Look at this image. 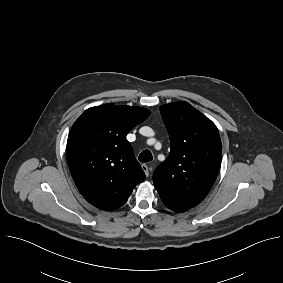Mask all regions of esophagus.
I'll return each mask as SVG.
<instances>
[{
	"label": "esophagus",
	"instance_id": "34e87169",
	"mask_svg": "<svg viewBox=\"0 0 283 283\" xmlns=\"http://www.w3.org/2000/svg\"><path fill=\"white\" fill-rule=\"evenodd\" d=\"M141 167L144 170L145 175L148 177L149 176V171H150L149 167L146 164H142Z\"/></svg>",
	"mask_w": 283,
	"mask_h": 283
}]
</instances>
